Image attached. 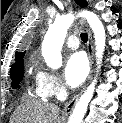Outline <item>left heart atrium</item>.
<instances>
[{
    "label": "left heart atrium",
    "instance_id": "1",
    "mask_svg": "<svg viewBox=\"0 0 122 123\" xmlns=\"http://www.w3.org/2000/svg\"><path fill=\"white\" fill-rule=\"evenodd\" d=\"M89 72V64L84 53L71 54L65 64L64 79L69 87L75 88L81 85Z\"/></svg>",
    "mask_w": 122,
    "mask_h": 123
}]
</instances>
